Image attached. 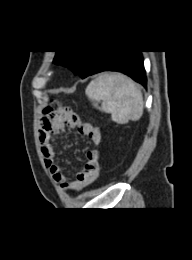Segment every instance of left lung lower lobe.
I'll return each instance as SVG.
<instances>
[{
    "mask_svg": "<svg viewBox=\"0 0 192 260\" xmlns=\"http://www.w3.org/2000/svg\"><path fill=\"white\" fill-rule=\"evenodd\" d=\"M102 71L122 72L136 82L146 87L147 79L143 65V57L140 51L130 50H100L94 55L90 64L82 76H87Z\"/></svg>",
    "mask_w": 192,
    "mask_h": 260,
    "instance_id": "0a47b994",
    "label": "left lung lower lobe"
}]
</instances>
